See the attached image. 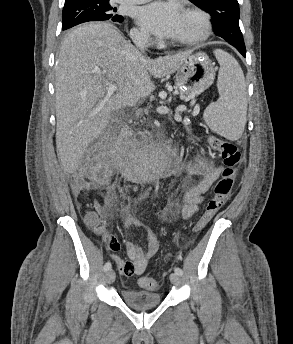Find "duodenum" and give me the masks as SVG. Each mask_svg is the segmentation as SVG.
<instances>
[{
    "label": "duodenum",
    "instance_id": "1",
    "mask_svg": "<svg viewBox=\"0 0 293 344\" xmlns=\"http://www.w3.org/2000/svg\"><path fill=\"white\" fill-rule=\"evenodd\" d=\"M109 149H110V153L112 156V161L114 162L117 160V158H116L117 157L116 147H114L113 145L110 144ZM171 165H172V169L175 171V170H178L179 168H181L182 164H179L177 159H174V160H172Z\"/></svg>",
    "mask_w": 293,
    "mask_h": 344
}]
</instances>
